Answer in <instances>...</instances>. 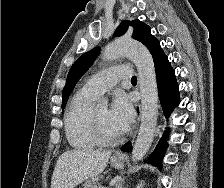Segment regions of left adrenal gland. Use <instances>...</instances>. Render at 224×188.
Masks as SVG:
<instances>
[{
  "label": "left adrenal gland",
  "mask_w": 224,
  "mask_h": 188,
  "mask_svg": "<svg viewBox=\"0 0 224 188\" xmlns=\"http://www.w3.org/2000/svg\"><path fill=\"white\" fill-rule=\"evenodd\" d=\"M122 182H123V180L118 184L117 188H123Z\"/></svg>",
  "instance_id": "obj_1"
}]
</instances>
